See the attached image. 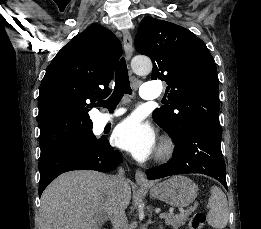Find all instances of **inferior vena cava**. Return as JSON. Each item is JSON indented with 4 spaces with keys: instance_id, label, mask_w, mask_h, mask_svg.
I'll return each mask as SVG.
<instances>
[{
    "instance_id": "1",
    "label": "inferior vena cava",
    "mask_w": 261,
    "mask_h": 229,
    "mask_svg": "<svg viewBox=\"0 0 261 229\" xmlns=\"http://www.w3.org/2000/svg\"><path fill=\"white\" fill-rule=\"evenodd\" d=\"M126 181L124 177V169L119 167L118 175H113L108 179V193L113 197L115 203L113 205V213L111 217V223L113 229H125L127 223V217L124 209H121L118 205V197H121L122 189L125 187Z\"/></svg>"
}]
</instances>
